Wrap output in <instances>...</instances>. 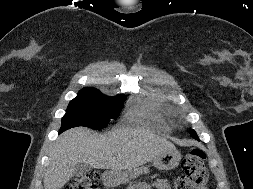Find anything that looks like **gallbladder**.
<instances>
[{"label": "gallbladder", "instance_id": "obj_1", "mask_svg": "<svg viewBox=\"0 0 253 189\" xmlns=\"http://www.w3.org/2000/svg\"><path fill=\"white\" fill-rule=\"evenodd\" d=\"M92 167L85 163H78L74 166L73 175L76 177L83 176L84 174L90 172Z\"/></svg>", "mask_w": 253, "mask_h": 189}]
</instances>
